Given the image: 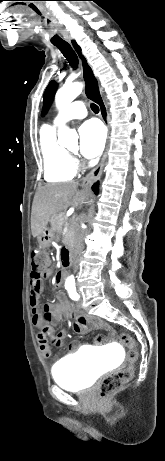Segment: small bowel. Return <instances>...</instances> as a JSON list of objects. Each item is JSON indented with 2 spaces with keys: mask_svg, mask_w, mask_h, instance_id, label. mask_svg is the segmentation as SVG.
I'll return each instance as SVG.
<instances>
[{
  "mask_svg": "<svg viewBox=\"0 0 165 461\" xmlns=\"http://www.w3.org/2000/svg\"><path fill=\"white\" fill-rule=\"evenodd\" d=\"M48 275L49 273L46 274V276ZM63 277V271H56V278L54 279L55 287L62 284ZM41 289V282L39 288H35L31 281L29 304L31 307L32 324L39 329V332L36 336L38 347L45 358L52 357V347L50 342L60 346L63 344L66 338V330H61L56 333L54 328L55 322L60 320L63 314L74 318L75 321L73 324V329L77 333L84 334L91 329H100L108 333V339H112L114 337V331L111 326L101 320L88 319L86 316L74 311L71 304L64 295H59L57 302L46 303L43 305L42 309H39V292ZM95 342L101 343L102 338L97 337ZM81 346L82 343L80 341H74L68 346V352H74ZM56 360H58V358H56L55 361Z\"/></svg>",
  "mask_w": 165,
  "mask_h": 461,
  "instance_id": "obj_1",
  "label": "small bowel"
}]
</instances>
